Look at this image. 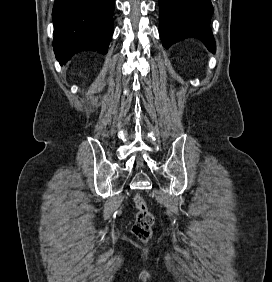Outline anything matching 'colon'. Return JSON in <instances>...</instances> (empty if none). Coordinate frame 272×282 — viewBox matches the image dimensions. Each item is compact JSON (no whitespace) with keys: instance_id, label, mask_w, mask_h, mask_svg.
Here are the masks:
<instances>
[{"instance_id":"5ec220e1","label":"colon","mask_w":272,"mask_h":282,"mask_svg":"<svg viewBox=\"0 0 272 282\" xmlns=\"http://www.w3.org/2000/svg\"><path fill=\"white\" fill-rule=\"evenodd\" d=\"M133 203L136 210L133 232L139 240L146 241L151 235L154 216L142 195H135Z\"/></svg>"}]
</instances>
